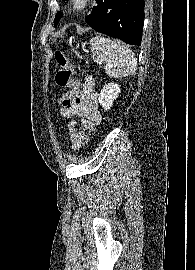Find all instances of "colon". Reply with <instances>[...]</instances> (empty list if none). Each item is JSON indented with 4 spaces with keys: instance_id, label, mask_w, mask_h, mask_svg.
<instances>
[{
    "instance_id": "1",
    "label": "colon",
    "mask_w": 195,
    "mask_h": 270,
    "mask_svg": "<svg viewBox=\"0 0 195 270\" xmlns=\"http://www.w3.org/2000/svg\"><path fill=\"white\" fill-rule=\"evenodd\" d=\"M55 59L58 64L55 82L59 87L68 89L60 99L61 106H71L79 98L81 83L73 79L74 64L63 51H56ZM75 138L79 146H84L88 142V136L81 131L76 132Z\"/></svg>"
}]
</instances>
